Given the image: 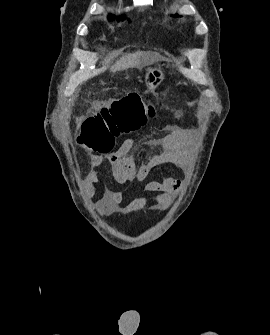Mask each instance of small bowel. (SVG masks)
Instances as JSON below:
<instances>
[{
  "label": "small bowel",
  "instance_id": "obj_1",
  "mask_svg": "<svg viewBox=\"0 0 270 335\" xmlns=\"http://www.w3.org/2000/svg\"><path fill=\"white\" fill-rule=\"evenodd\" d=\"M102 104L105 103L102 102L99 105ZM176 115L180 116V112L177 111ZM132 145L133 140L127 138L115 152L107 156L93 154L89 157L86 183L90 189H93L99 180L98 168L107 161L117 183L145 181L144 189L148 193L122 206L125 192L106 188L103 197L96 205L98 212L103 216H109L113 212H132L146 204H153L157 210H165L170 206L172 197L182 186L181 180L172 176H165L158 180L146 179L150 172L158 166L165 164L184 166L189 163L190 139L184 128L176 124L168 125L166 134L153 142V146L158 151L143 161L140 166H137L134 159L128 155Z\"/></svg>",
  "mask_w": 270,
  "mask_h": 335
}]
</instances>
